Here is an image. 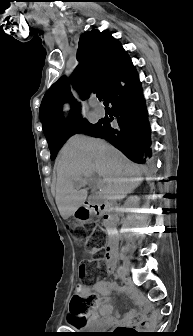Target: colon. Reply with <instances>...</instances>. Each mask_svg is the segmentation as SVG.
Instances as JSON below:
<instances>
[{"mask_svg":"<svg viewBox=\"0 0 193 336\" xmlns=\"http://www.w3.org/2000/svg\"><path fill=\"white\" fill-rule=\"evenodd\" d=\"M69 228L73 230V225L70 224ZM76 241L78 244L83 245L86 252L98 254L101 250V244L97 240L95 235H89L87 237L77 236ZM93 264L92 260H83L79 267V276L81 279H85L91 269ZM98 298L94 294H89L86 296L74 295L70 301L71 312L74 317L87 318L92 309L97 305ZM120 336H124V331H119Z\"/></svg>","mask_w":193,"mask_h":336,"instance_id":"obj_1","label":"colon"}]
</instances>
